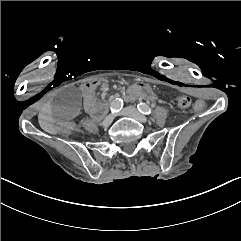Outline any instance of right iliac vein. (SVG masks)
<instances>
[{
	"label": "right iliac vein",
	"instance_id": "obj_1",
	"mask_svg": "<svg viewBox=\"0 0 241 241\" xmlns=\"http://www.w3.org/2000/svg\"><path fill=\"white\" fill-rule=\"evenodd\" d=\"M115 115L114 114H110L108 115L102 122V126L103 127H108L111 125L113 119H114Z\"/></svg>",
	"mask_w": 241,
	"mask_h": 241
}]
</instances>
